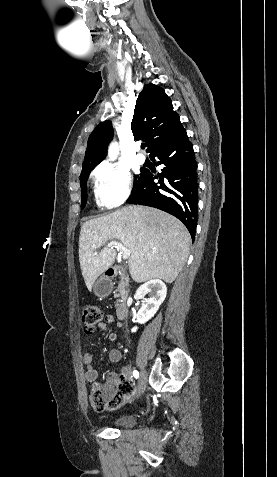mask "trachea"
Returning <instances> with one entry per match:
<instances>
[{
	"instance_id": "1",
	"label": "trachea",
	"mask_w": 277,
	"mask_h": 477,
	"mask_svg": "<svg viewBox=\"0 0 277 477\" xmlns=\"http://www.w3.org/2000/svg\"><path fill=\"white\" fill-rule=\"evenodd\" d=\"M141 148L145 149V144L144 143L141 144Z\"/></svg>"
}]
</instances>
